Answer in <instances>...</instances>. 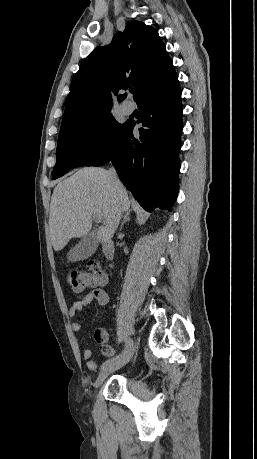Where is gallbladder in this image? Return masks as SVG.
Segmentation results:
<instances>
[{"mask_svg":"<svg viewBox=\"0 0 257 459\" xmlns=\"http://www.w3.org/2000/svg\"><path fill=\"white\" fill-rule=\"evenodd\" d=\"M98 242L95 233L85 235L70 251L67 258L72 261H80L90 257L97 249Z\"/></svg>","mask_w":257,"mask_h":459,"instance_id":"bac80fb5","label":"gallbladder"}]
</instances>
